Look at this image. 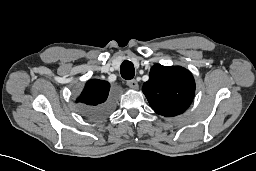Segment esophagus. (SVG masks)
Masks as SVG:
<instances>
[{"label":"esophagus","mask_w":256,"mask_h":171,"mask_svg":"<svg viewBox=\"0 0 256 171\" xmlns=\"http://www.w3.org/2000/svg\"><path fill=\"white\" fill-rule=\"evenodd\" d=\"M127 85L132 89H138L139 85L136 80L127 81Z\"/></svg>","instance_id":"obj_1"}]
</instances>
